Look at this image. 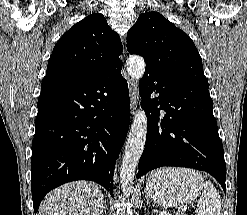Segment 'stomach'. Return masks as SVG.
<instances>
[{
    "mask_svg": "<svg viewBox=\"0 0 247 215\" xmlns=\"http://www.w3.org/2000/svg\"><path fill=\"white\" fill-rule=\"evenodd\" d=\"M202 185V177L196 171L164 168L149 175L146 191L158 204L178 207L195 200L200 194Z\"/></svg>",
    "mask_w": 247,
    "mask_h": 215,
    "instance_id": "0dacf381",
    "label": "stomach"
}]
</instances>
